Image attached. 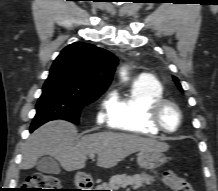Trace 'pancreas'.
I'll return each instance as SVG.
<instances>
[{"mask_svg":"<svg viewBox=\"0 0 218 191\" xmlns=\"http://www.w3.org/2000/svg\"><path fill=\"white\" fill-rule=\"evenodd\" d=\"M152 176L148 174H136L128 176L126 174L115 175L111 177L109 183H105L99 189L120 190L129 186L130 189H138L144 187L145 184H150Z\"/></svg>","mask_w":218,"mask_h":191,"instance_id":"1","label":"pancreas"}]
</instances>
